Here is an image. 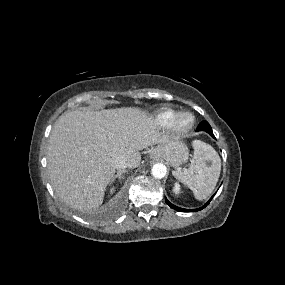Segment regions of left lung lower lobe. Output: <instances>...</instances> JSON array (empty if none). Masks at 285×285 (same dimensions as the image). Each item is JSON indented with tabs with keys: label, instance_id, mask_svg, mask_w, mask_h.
I'll list each match as a JSON object with an SVG mask.
<instances>
[{
	"label": "left lung lower lobe",
	"instance_id": "0a47b994",
	"mask_svg": "<svg viewBox=\"0 0 285 285\" xmlns=\"http://www.w3.org/2000/svg\"><path fill=\"white\" fill-rule=\"evenodd\" d=\"M202 130H203V131H206V132L209 133L213 138H215V136H214V134H213V132H212V128H211V126L209 125L208 122L202 121V122L199 124V126H198V128H197V131H202ZM212 198H213V196L210 198V200H209L204 206H202V207H200V208H197V209H183V208H179V207L173 205L172 203H170V202L167 200V198H165V201H166V203H167L171 208H173V209H175V210H177V211H181V212H193V211H199V210H202L203 208H205V207L210 203V201L212 200Z\"/></svg>",
	"mask_w": 285,
	"mask_h": 285
}]
</instances>
